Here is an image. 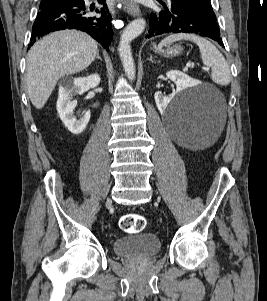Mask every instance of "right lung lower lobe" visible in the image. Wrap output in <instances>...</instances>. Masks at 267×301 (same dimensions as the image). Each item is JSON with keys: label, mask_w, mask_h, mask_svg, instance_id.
<instances>
[{"label": "right lung lower lobe", "mask_w": 267, "mask_h": 301, "mask_svg": "<svg viewBox=\"0 0 267 301\" xmlns=\"http://www.w3.org/2000/svg\"><path fill=\"white\" fill-rule=\"evenodd\" d=\"M98 2L102 7H87L84 0H64L51 7L41 9L34 22L31 43L28 48L37 38L50 32L77 29L91 35L108 51L113 37L112 18L105 0H98Z\"/></svg>", "instance_id": "right-lung-lower-lobe-1"}]
</instances>
